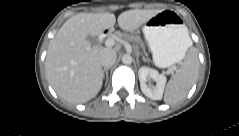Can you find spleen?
<instances>
[{
	"instance_id": "1",
	"label": "spleen",
	"mask_w": 239,
	"mask_h": 136,
	"mask_svg": "<svg viewBox=\"0 0 239 136\" xmlns=\"http://www.w3.org/2000/svg\"><path fill=\"white\" fill-rule=\"evenodd\" d=\"M189 45H192V40L188 35ZM199 61L195 51L186 58L180 69L169 80L164 101L168 104H174L182 101L188 94L192 85L198 77Z\"/></svg>"
}]
</instances>
